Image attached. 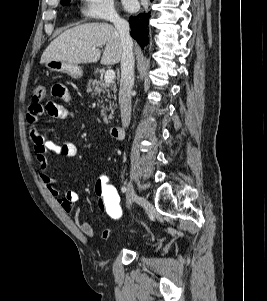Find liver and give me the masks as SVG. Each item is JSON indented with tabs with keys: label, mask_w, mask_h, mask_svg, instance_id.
<instances>
[{
	"label": "liver",
	"mask_w": 267,
	"mask_h": 301,
	"mask_svg": "<svg viewBox=\"0 0 267 301\" xmlns=\"http://www.w3.org/2000/svg\"><path fill=\"white\" fill-rule=\"evenodd\" d=\"M105 45L101 57L100 48ZM122 45L116 28L107 23H87L64 31L45 49L40 63L51 60L72 64H117L122 57Z\"/></svg>",
	"instance_id": "obj_1"
}]
</instances>
